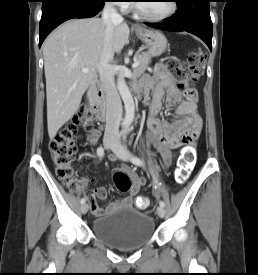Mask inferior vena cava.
Segmentation results:
<instances>
[{
  "mask_svg": "<svg viewBox=\"0 0 258 275\" xmlns=\"http://www.w3.org/2000/svg\"><path fill=\"white\" fill-rule=\"evenodd\" d=\"M102 19L106 25L104 48L97 65L102 88L106 96V128L105 136H118L119 125L122 118V104L115 87L114 77L110 71L109 62L114 52L111 46L113 26L123 22V17L117 13L114 6L107 3L102 12Z\"/></svg>",
  "mask_w": 258,
  "mask_h": 275,
  "instance_id": "obj_1",
  "label": "inferior vena cava"
}]
</instances>
